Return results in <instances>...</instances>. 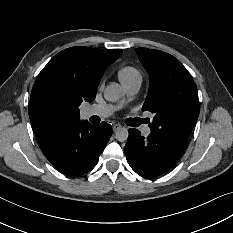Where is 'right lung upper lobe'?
<instances>
[{
    "instance_id": "cb5924a9",
    "label": "right lung upper lobe",
    "mask_w": 233,
    "mask_h": 233,
    "mask_svg": "<svg viewBox=\"0 0 233 233\" xmlns=\"http://www.w3.org/2000/svg\"><path fill=\"white\" fill-rule=\"evenodd\" d=\"M122 49L101 50L71 47L55 55L39 73L32 88L29 117L35 134L67 121L79 120V112L58 101L78 98L93 101L106 68L118 59Z\"/></svg>"
}]
</instances>
